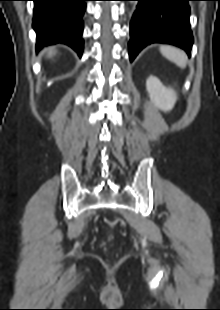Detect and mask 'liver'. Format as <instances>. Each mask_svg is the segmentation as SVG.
I'll use <instances>...</instances> for the list:
<instances>
[{"instance_id": "6515ba94", "label": "liver", "mask_w": 220, "mask_h": 310, "mask_svg": "<svg viewBox=\"0 0 220 310\" xmlns=\"http://www.w3.org/2000/svg\"><path fill=\"white\" fill-rule=\"evenodd\" d=\"M54 54V52H52V50H49V56L51 57Z\"/></svg>"}]
</instances>
